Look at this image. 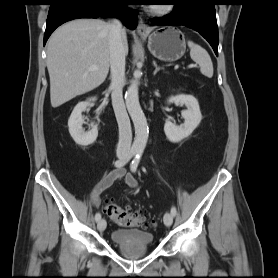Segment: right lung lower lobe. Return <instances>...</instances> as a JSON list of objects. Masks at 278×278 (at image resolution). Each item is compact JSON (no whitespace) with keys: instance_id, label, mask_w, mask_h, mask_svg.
Segmentation results:
<instances>
[{"instance_id":"1","label":"right lung lower lobe","mask_w":278,"mask_h":278,"mask_svg":"<svg viewBox=\"0 0 278 278\" xmlns=\"http://www.w3.org/2000/svg\"><path fill=\"white\" fill-rule=\"evenodd\" d=\"M128 0H53L46 22L44 45L51 33L64 22L78 18L118 17L130 29L137 26L134 11L127 8Z\"/></svg>"}]
</instances>
